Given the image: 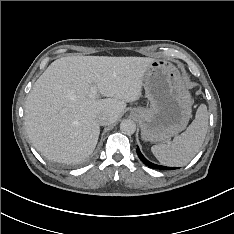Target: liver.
<instances>
[{"label":"liver","mask_w":234,"mask_h":234,"mask_svg":"<svg viewBox=\"0 0 234 234\" xmlns=\"http://www.w3.org/2000/svg\"><path fill=\"white\" fill-rule=\"evenodd\" d=\"M147 57L68 56L52 62L37 79L25 102V128L45 158L78 163L92 154L107 113L114 123L126 103L142 95ZM105 99L90 96L91 89Z\"/></svg>","instance_id":"obj_1"}]
</instances>
